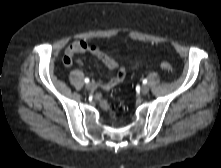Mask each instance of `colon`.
<instances>
[{
  "label": "colon",
  "mask_w": 221,
  "mask_h": 168,
  "mask_svg": "<svg viewBox=\"0 0 221 168\" xmlns=\"http://www.w3.org/2000/svg\"><path fill=\"white\" fill-rule=\"evenodd\" d=\"M161 68H162L164 71L168 72V73H172V72H173V68H172V66H171L168 62H162V63H161ZM96 98H97V100L100 102L101 106H102L104 109L108 110V111L111 113L112 116H114V113L110 110L108 103H107L106 101H104V100L101 98L100 95H97Z\"/></svg>",
  "instance_id": "1"
}]
</instances>
